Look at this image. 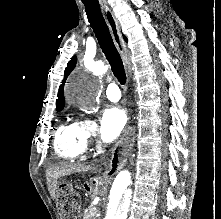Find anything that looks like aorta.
Returning <instances> with one entry per match:
<instances>
[{"label": "aorta", "mask_w": 221, "mask_h": 219, "mask_svg": "<svg viewBox=\"0 0 221 219\" xmlns=\"http://www.w3.org/2000/svg\"><path fill=\"white\" fill-rule=\"evenodd\" d=\"M89 69L98 76L107 72L108 66L102 61L94 62ZM87 83L84 79H80L69 93L81 102H88L90 94L83 88ZM82 88V89H81ZM134 171L133 169H124L118 172L110 194L107 219H127L130 204L133 198Z\"/></svg>", "instance_id": "obj_1"}]
</instances>
